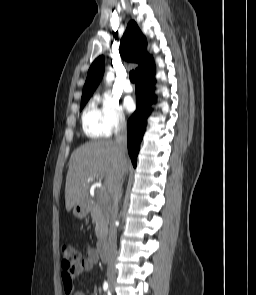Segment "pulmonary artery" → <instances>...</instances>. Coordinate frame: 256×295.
<instances>
[{"instance_id": "pulmonary-artery-1", "label": "pulmonary artery", "mask_w": 256, "mask_h": 295, "mask_svg": "<svg viewBox=\"0 0 256 295\" xmlns=\"http://www.w3.org/2000/svg\"><path fill=\"white\" fill-rule=\"evenodd\" d=\"M124 91L127 93H131L133 91V86L129 80H126V82L124 84Z\"/></svg>"}]
</instances>
